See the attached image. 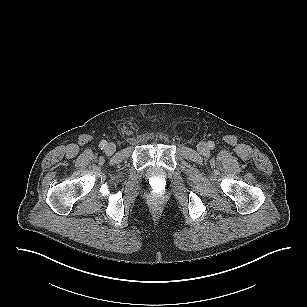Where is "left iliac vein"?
<instances>
[{
  "mask_svg": "<svg viewBox=\"0 0 307 307\" xmlns=\"http://www.w3.org/2000/svg\"><path fill=\"white\" fill-rule=\"evenodd\" d=\"M197 150L202 155H206L209 152L208 146L205 142H200L197 145Z\"/></svg>",
  "mask_w": 307,
  "mask_h": 307,
  "instance_id": "4c4485c4",
  "label": "left iliac vein"
}]
</instances>
